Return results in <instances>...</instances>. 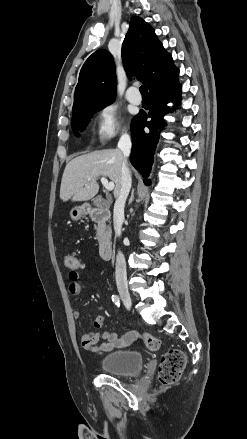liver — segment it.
<instances>
[{
	"instance_id": "1",
	"label": "liver",
	"mask_w": 247,
	"mask_h": 439,
	"mask_svg": "<svg viewBox=\"0 0 247 439\" xmlns=\"http://www.w3.org/2000/svg\"><path fill=\"white\" fill-rule=\"evenodd\" d=\"M123 153L119 149H104L72 159L65 167L60 187V198L66 202L87 201L99 190L97 180L108 177L115 184L114 197L121 189Z\"/></svg>"
}]
</instances>
